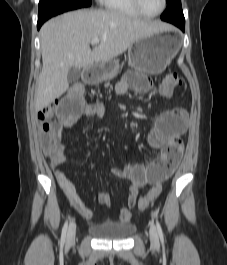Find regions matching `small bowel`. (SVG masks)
Segmentation results:
<instances>
[{"instance_id":"small-bowel-1","label":"small bowel","mask_w":227,"mask_h":265,"mask_svg":"<svg viewBox=\"0 0 227 265\" xmlns=\"http://www.w3.org/2000/svg\"><path fill=\"white\" fill-rule=\"evenodd\" d=\"M151 89V82L143 72H127L116 85L117 95H124L132 90L137 93H146ZM85 91H66V96H61L56 105L59 122L51 126L49 136L51 143L43 146L45 154L50 159L57 183L64 192L71 205L85 218L92 219L93 212L79 196L75 185L59 169L66 161L65 147L61 143V137L65 128L73 127L83 116H100L104 107L101 104L89 105L84 99ZM187 125V114L182 109H170L160 113L154 120L148 134V144L161 151L159 158L147 164H133L112 169V174L126 180L129 184L126 206L118 212L120 223H128L131 220V209L135 207L139 190L149 184L156 185L166 179L172 171H168L159 164L160 158L168 151L179 150L182 152L181 135ZM99 204L110 206L111 197L106 191H101L97 196Z\"/></svg>"}]
</instances>
